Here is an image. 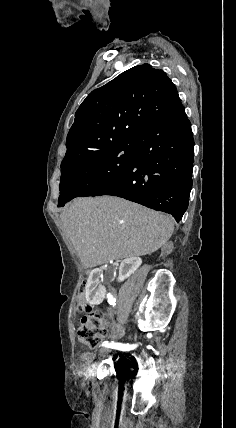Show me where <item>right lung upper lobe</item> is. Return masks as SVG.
I'll return each instance as SVG.
<instances>
[{
    "label": "right lung upper lobe",
    "instance_id": "obj_1",
    "mask_svg": "<svg viewBox=\"0 0 236 428\" xmlns=\"http://www.w3.org/2000/svg\"><path fill=\"white\" fill-rule=\"evenodd\" d=\"M181 106L164 71L149 64L124 71L92 91L76 111L61 169L119 142L135 140Z\"/></svg>",
    "mask_w": 236,
    "mask_h": 428
}]
</instances>
